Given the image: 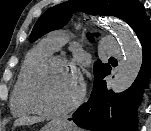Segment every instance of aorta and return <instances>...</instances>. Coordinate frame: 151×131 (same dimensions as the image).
Returning a JSON list of instances; mask_svg holds the SVG:
<instances>
[{"mask_svg": "<svg viewBox=\"0 0 151 131\" xmlns=\"http://www.w3.org/2000/svg\"><path fill=\"white\" fill-rule=\"evenodd\" d=\"M107 26L116 35L123 52V60L111 85L114 93H121L133 84L140 71L143 60L142 48L126 24L111 21Z\"/></svg>", "mask_w": 151, "mask_h": 131, "instance_id": "762f6f07", "label": "aorta"}]
</instances>
